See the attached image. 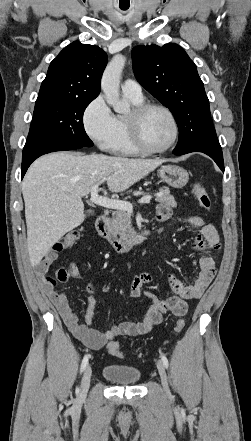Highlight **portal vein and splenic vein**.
Here are the masks:
<instances>
[{
  "instance_id": "18ae733b",
  "label": "portal vein and splenic vein",
  "mask_w": 251,
  "mask_h": 441,
  "mask_svg": "<svg viewBox=\"0 0 251 441\" xmlns=\"http://www.w3.org/2000/svg\"><path fill=\"white\" fill-rule=\"evenodd\" d=\"M104 180L99 181L96 185L91 188V197L90 202L102 206L109 209L123 210V211H132L133 205L130 202L110 199L107 197L100 196L98 194V187ZM152 199V196L146 195L143 196L139 203H149Z\"/></svg>"
}]
</instances>
